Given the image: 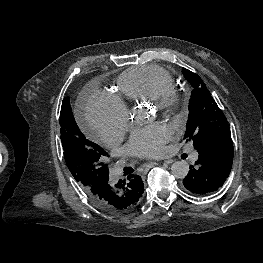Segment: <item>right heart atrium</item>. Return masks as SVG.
<instances>
[{
	"instance_id": "obj_1",
	"label": "right heart atrium",
	"mask_w": 263,
	"mask_h": 263,
	"mask_svg": "<svg viewBox=\"0 0 263 263\" xmlns=\"http://www.w3.org/2000/svg\"><path fill=\"white\" fill-rule=\"evenodd\" d=\"M85 116L92 132L105 145L117 140L129 127L128 110L105 92H94L89 97Z\"/></svg>"
}]
</instances>
